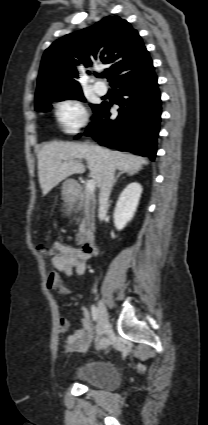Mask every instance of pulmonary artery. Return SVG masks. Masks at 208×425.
I'll return each mask as SVG.
<instances>
[{"label": "pulmonary artery", "mask_w": 208, "mask_h": 425, "mask_svg": "<svg viewBox=\"0 0 208 425\" xmlns=\"http://www.w3.org/2000/svg\"><path fill=\"white\" fill-rule=\"evenodd\" d=\"M93 88H94L95 92L98 93L99 95H104V94L107 93V86H106V84H104L102 82L94 83Z\"/></svg>", "instance_id": "1"}]
</instances>
